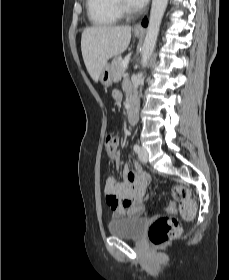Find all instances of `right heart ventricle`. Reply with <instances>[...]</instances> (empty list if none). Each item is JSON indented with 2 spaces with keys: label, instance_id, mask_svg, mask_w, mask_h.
I'll use <instances>...</instances> for the list:
<instances>
[{
  "label": "right heart ventricle",
  "instance_id": "obj_1",
  "mask_svg": "<svg viewBox=\"0 0 229 280\" xmlns=\"http://www.w3.org/2000/svg\"><path fill=\"white\" fill-rule=\"evenodd\" d=\"M89 22L99 28L114 26L120 20L115 0H86Z\"/></svg>",
  "mask_w": 229,
  "mask_h": 280
}]
</instances>
